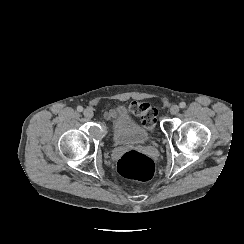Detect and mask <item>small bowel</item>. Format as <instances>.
Wrapping results in <instances>:
<instances>
[{
    "label": "small bowel",
    "instance_id": "c3829d8e",
    "mask_svg": "<svg viewBox=\"0 0 244 244\" xmlns=\"http://www.w3.org/2000/svg\"><path fill=\"white\" fill-rule=\"evenodd\" d=\"M106 117L113 121L116 127H127L130 126V122L127 120H122L118 117L117 111L115 109L109 110L106 113Z\"/></svg>",
    "mask_w": 244,
    "mask_h": 244
}]
</instances>
